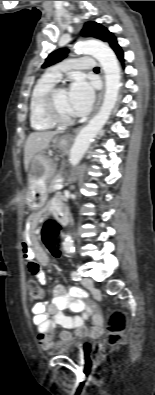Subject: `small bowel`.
I'll return each instance as SVG.
<instances>
[{
    "label": "small bowel",
    "mask_w": 155,
    "mask_h": 395,
    "mask_svg": "<svg viewBox=\"0 0 155 395\" xmlns=\"http://www.w3.org/2000/svg\"><path fill=\"white\" fill-rule=\"evenodd\" d=\"M63 208V204L58 197L53 198L49 204L31 217L26 238L22 243V253L28 261V268L31 275L41 284L46 282V276L41 265H49L50 259L43 249L33 238L37 223L47 213L56 214ZM84 293L78 288L66 290L62 286L54 289L52 302L47 305L40 302L32 307L33 324L38 330V341L42 348L50 349L53 345V338L57 326L66 330L60 333V340L72 338L69 330H74L79 337L98 336L101 333L103 318L92 304H86L82 300ZM70 309L73 312H83V315L68 316L64 310ZM91 317L92 327L89 329L85 325V319Z\"/></svg>",
    "instance_id": "obj_1"
}]
</instances>
